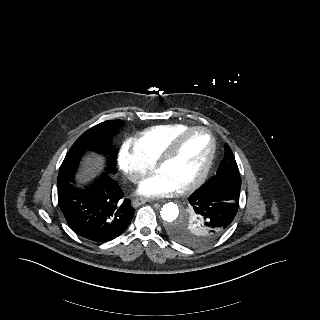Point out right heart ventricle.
Returning a JSON list of instances; mask_svg holds the SVG:
<instances>
[{
    "label": "right heart ventricle",
    "instance_id": "e07e8e85",
    "mask_svg": "<svg viewBox=\"0 0 320 320\" xmlns=\"http://www.w3.org/2000/svg\"><path fill=\"white\" fill-rule=\"evenodd\" d=\"M188 128L181 123L153 126L138 134L134 142L145 158L154 162L173 138Z\"/></svg>",
    "mask_w": 320,
    "mask_h": 320
}]
</instances>
